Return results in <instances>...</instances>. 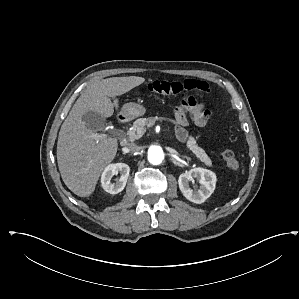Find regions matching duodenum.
Here are the masks:
<instances>
[{"mask_svg": "<svg viewBox=\"0 0 299 299\" xmlns=\"http://www.w3.org/2000/svg\"><path fill=\"white\" fill-rule=\"evenodd\" d=\"M119 122L124 123L125 122V117L124 116H119L118 117Z\"/></svg>", "mask_w": 299, "mask_h": 299, "instance_id": "410a0bca", "label": "duodenum"}]
</instances>
